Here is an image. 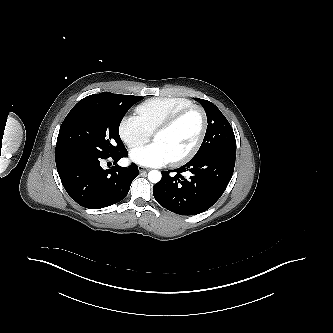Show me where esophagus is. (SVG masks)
I'll return each instance as SVG.
<instances>
[{
	"mask_svg": "<svg viewBox=\"0 0 333 333\" xmlns=\"http://www.w3.org/2000/svg\"><path fill=\"white\" fill-rule=\"evenodd\" d=\"M138 170H139L140 173H146V172L149 171L148 168H145V167H142V166H140V167L138 168Z\"/></svg>",
	"mask_w": 333,
	"mask_h": 333,
	"instance_id": "34e87169",
	"label": "esophagus"
}]
</instances>
